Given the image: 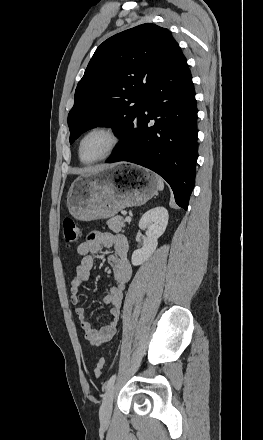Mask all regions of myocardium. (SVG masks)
<instances>
[{"instance_id":"obj_1","label":"myocardium","mask_w":263,"mask_h":440,"mask_svg":"<svg viewBox=\"0 0 263 440\" xmlns=\"http://www.w3.org/2000/svg\"><path fill=\"white\" fill-rule=\"evenodd\" d=\"M94 132H104L106 133L109 138H110V146L108 148V150L105 152V154H103L102 156L93 159V160H84L82 158L81 155V147H82V143L85 140V138L87 136H89L91 133ZM121 142V137L120 134L118 133V131L109 124H95L91 127H89L79 138L78 142H77V155L79 160L84 163V164H94V163H98L101 162L103 160H106L107 158H109L119 147Z\"/></svg>"}]
</instances>
